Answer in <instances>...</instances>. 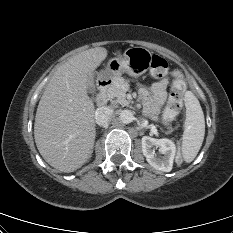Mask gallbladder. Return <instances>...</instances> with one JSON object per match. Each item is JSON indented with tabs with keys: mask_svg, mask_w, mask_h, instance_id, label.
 Instances as JSON below:
<instances>
[{
	"mask_svg": "<svg viewBox=\"0 0 233 233\" xmlns=\"http://www.w3.org/2000/svg\"><path fill=\"white\" fill-rule=\"evenodd\" d=\"M87 92L90 94L91 98L94 99L96 96V88L93 85L88 86Z\"/></svg>",
	"mask_w": 233,
	"mask_h": 233,
	"instance_id": "gallbladder-1",
	"label": "gallbladder"
}]
</instances>
